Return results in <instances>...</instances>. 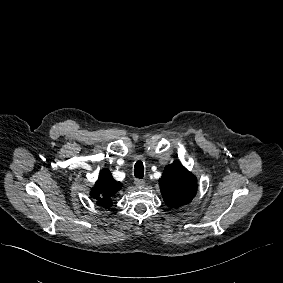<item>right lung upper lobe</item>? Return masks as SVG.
Returning a JSON list of instances; mask_svg holds the SVG:
<instances>
[{
    "label": "right lung upper lobe",
    "instance_id": "right-lung-upper-lobe-1",
    "mask_svg": "<svg viewBox=\"0 0 283 283\" xmlns=\"http://www.w3.org/2000/svg\"><path fill=\"white\" fill-rule=\"evenodd\" d=\"M122 184L113 179L108 169H103L92 188L90 195L97 199V204L104 208L111 206L112 197L121 189Z\"/></svg>",
    "mask_w": 283,
    "mask_h": 283
}]
</instances>
